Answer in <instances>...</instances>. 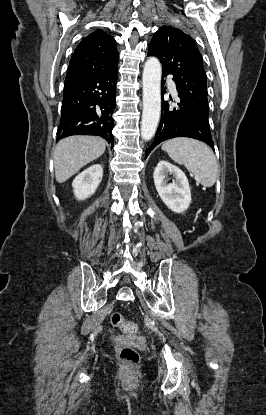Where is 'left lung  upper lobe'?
Segmentation results:
<instances>
[{"instance_id": "1", "label": "left lung upper lobe", "mask_w": 266, "mask_h": 415, "mask_svg": "<svg viewBox=\"0 0 266 415\" xmlns=\"http://www.w3.org/2000/svg\"><path fill=\"white\" fill-rule=\"evenodd\" d=\"M148 49V56L160 60L162 73L173 75L178 95L208 118L207 76L195 41L180 29L162 26Z\"/></svg>"}]
</instances>
